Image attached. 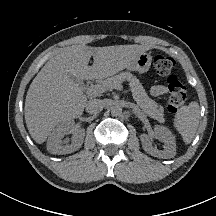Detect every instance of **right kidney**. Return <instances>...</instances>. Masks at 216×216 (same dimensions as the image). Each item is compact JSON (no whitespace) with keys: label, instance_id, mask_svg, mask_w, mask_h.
Returning <instances> with one entry per match:
<instances>
[{"label":"right kidney","instance_id":"obj_1","mask_svg":"<svg viewBox=\"0 0 216 216\" xmlns=\"http://www.w3.org/2000/svg\"><path fill=\"white\" fill-rule=\"evenodd\" d=\"M67 134H73L72 142L69 145H63L62 138ZM84 137L85 130L82 128L77 129L74 121L62 122L50 133L47 141V150L52 154H70L82 146Z\"/></svg>","mask_w":216,"mask_h":216}]
</instances>
